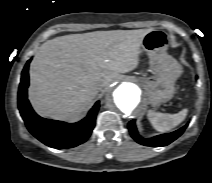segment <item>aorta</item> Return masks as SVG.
Masks as SVG:
<instances>
[{"mask_svg": "<svg viewBox=\"0 0 212 183\" xmlns=\"http://www.w3.org/2000/svg\"><path fill=\"white\" fill-rule=\"evenodd\" d=\"M141 90L131 82H123L108 97L114 107L126 115H130L140 102Z\"/></svg>", "mask_w": 212, "mask_h": 183, "instance_id": "obj_1", "label": "aorta"}]
</instances>
